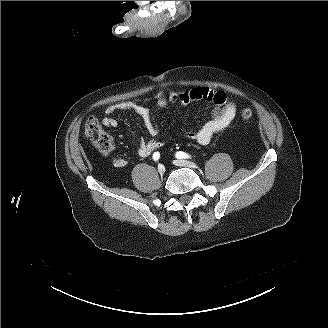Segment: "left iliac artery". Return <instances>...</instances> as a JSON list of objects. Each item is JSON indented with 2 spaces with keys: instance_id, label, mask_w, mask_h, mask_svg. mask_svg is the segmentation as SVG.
I'll return each instance as SVG.
<instances>
[{
  "instance_id": "1",
  "label": "left iliac artery",
  "mask_w": 328,
  "mask_h": 328,
  "mask_svg": "<svg viewBox=\"0 0 328 328\" xmlns=\"http://www.w3.org/2000/svg\"><path fill=\"white\" fill-rule=\"evenodd\" d=\"M175 156L177 159L189 158V155L181 151L177 152Z\"/></svg>"
}]
</instances>
